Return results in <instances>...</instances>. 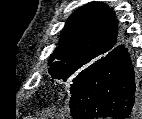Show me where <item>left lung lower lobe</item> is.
Listing matches in <instances>:
<instances>
[{"instance_id": "1", "label": "left lung lower lobe", "mask_w": 142, "mask_h": 119, "mask_svg": "<svg viewBox=\"0 0 142 119\" xmlns=\"http://www.w3.org/2000/svg\"><path fill=\"white\" fill-rule=\"evenodd\" d=\"M74 119H134L140 115L134 69L123 45L113 48L71 95Z\"/></svg>"}]
</instances>
